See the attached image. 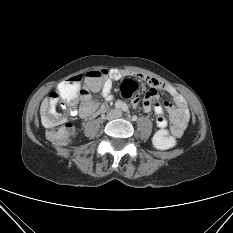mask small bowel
<instances>
[{"instance_id": "c3829d8e", "label": "small bowel", "mask_w": 233, "mask_h": 233, "mask_svg": "<svg viewBox=\"0 0 233 233\" xmlns=\"http://www.w3.org/2000/svg\"><path fill=\"white\" fill-rule=\"evenodd\" d=\"M127 75H129V73L121 69H112L108 73L103 85L100 88L101 96L104 99V103L100 106L101 110H104L106 103L113 100V95L111 93L113 83ZM138 77L149 86V90L145 95L143 102H140L137 88V90L129 96L132 106L134 108H141L144 112L154 110L157 115L156 125L160 130H166L168 126V120L164 114L165 109L169 116V122L173 135L175 137H181L189 119L188 106L183 96L168 83L146 75H138ZM159 92H164L170 95L174 104L164 102L163 109L158 100ZM95 109V102L89 103L82 99L81 105L74 111V114H78L81 118L86 119L95 112Z\"/></svg>"}]
</instances>
